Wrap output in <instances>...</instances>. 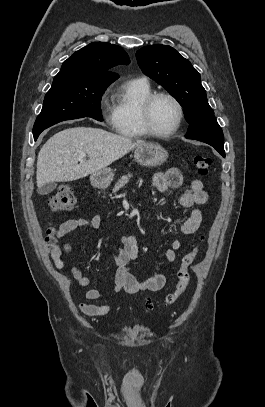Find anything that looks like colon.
Wrapping results in <instances>:
<instances>
[{"label": "colon", "instance_id": "5ec220e1", "mask_svg": "<svg viewBox=\"0 0 265 407\" xmlns=\"http://www.w3.org/2000/svg\"><path fill=\"white\" fill-rule=\"evenodd\" d=\"M193 163L197 171L206 175L212 165V159L206 155H196L193 159ZM49 207L53 211H69L76 204L75 191L70 186L60 187L49 199ZM47 241L50 248V252L59 250L61 252V246L59 244V238L57 237L54 229H49L47 234ZM65 250L68 246H63ZM199 253V248H194L192 251L183 256L181 260L180 267L177 272V284L175 290L168 294L164 300L165 306H172L177 303V301L186 292L188 285L190 283V267L194 263L197 255ZM145 307L148 309H153L155 307V301L150 298L145 300Z\"/></svg>", "mask_w": 265, "mask_h": 407}]
</instances>
